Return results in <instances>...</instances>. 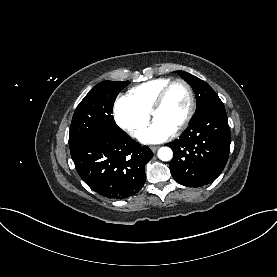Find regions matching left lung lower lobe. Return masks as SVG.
<instances>
[{"instance_id":"0a47b994","label":"left lung lower lobe","mask_w":277,"mask_h":277,"mask_svg":"<svg viewBox=\"0 0 277 277\" xmlns=\"http://www.w3.org/2000/svg\"><path fill=\"white\" fill-rule=\"evenodd\" d=\"M230 128L224 104L198 114L179 139L168 144L174 152L170 171L181 185L200 187L214 181L229 156Z\"/></svg>"}]
</instances>
